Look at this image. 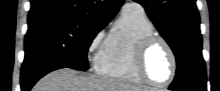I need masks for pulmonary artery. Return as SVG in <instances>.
Returning <instances> with one entry per match:
<instances>
[{"instance_id":"e3ab8cb5","label":"pulmonary artery","mask_w":220,"mask_h":91,"mask_svg":"<svg viewBox=\"0 0 220 91\" xmlns=\"http://www.w3.org/2000/svg\"><path fill=\"white\" fill-rule=\"evenodd\" d=\"M131 10L142 11V8L141 6L135 3L128 4L127 6L124 7V11H131Z\"/></svg>"}]
</instances>
